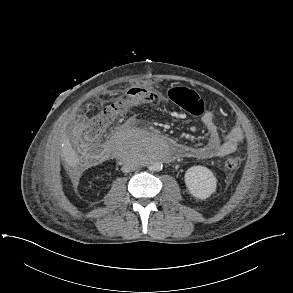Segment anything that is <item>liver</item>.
<instances>
[{
	"instance_id": "1",
	"label": "liver",
	"mask_w": 293,
	"mask_h": 293,
	"mask_svg": "<svg viewBox=\"0 0 293 293\" xmlns=\"http://www.w3.org/2000/svg\"><path fill=\"white\" fill-rule=\"evenodd\" d=\"M64 146L62 147V158L65 162L66 168H75L79 164V156L76 154V152L73 150L69 139L64 134Z\"/></svg>"
}]
</instances>
